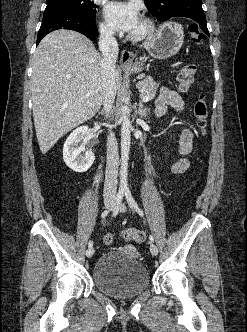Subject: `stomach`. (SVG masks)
<instances>
[{
	"label": "stomach",
	"mask_w": 247,
	"mask_h": 332,
	"mask_svg": "<svg viewBox=\"0 0 247 332\" xmlns=\"http://www.w3.org/2000/svg\"><path fill=\"white\" fill-rule=\"evenodd\" d=\"M184 32L181 25L175 22L162 24L145 44L148 53L155 59H167L176 55L183 45ZM143 70V64L137 63L130 72L139 73Z\"/></svg>",
	"instance_id": "stomach-1"
}]
</instances>
